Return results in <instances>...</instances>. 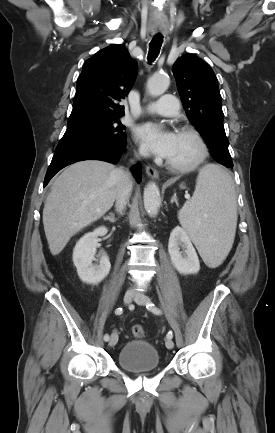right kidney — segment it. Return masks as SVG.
<instances>
[{"mask_svg": "<svg viewBox=\"0 0 275 433\" xmlns=\"http://www.w3.org/2000/svg\"><path fill=\"white\" fill-rule=\"evenodd\" d=\"M107 232V228L102 226L85 234L73 250V262L78 276L87 284H98L109 274L111 264L107 255L100 258L99 265L92 264L98 244L97 238L105 236Z\"/></svg>", "mask_w": 275, "mask_h": 433, "instance_id": "ca27d5eb", "label": "right kidney"}]
</instances>
